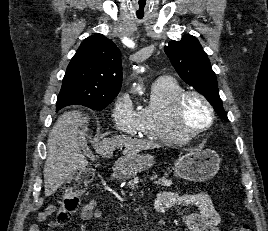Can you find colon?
I'll use <instances>...</instances> for the list:
<instances>
[{
  "label": "colon",
  "mask_w": 268,
  "mask_h": 231,
  "mask_svg": "<svg viewBox=\"0 0 268 231\" xmlns=\"http://www.w3.org/2000/svg\"><path fill=\"white\" fill-rule=\"evenodd\" d=\"M95 169L93 167L85 168L78 172L63 187L59 188L55 193V201L58 205H50L46 211L45 219L49 215H53L55 224H65L71 215L78 209L81 197L85 194ZM235 231H252L249 224L237 226Z\"/></svg>",
  "instance_id": "obj_1"
}]
</instances>
